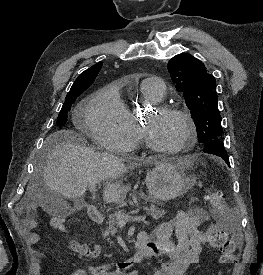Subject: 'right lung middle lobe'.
Wrapping results in <instances>:
<instances>
[{
	"label": "right lung middle lobe",
	"instance_id": "dd1d6c3e",
	"mask_svg": "<svg viewBox=\"0 0 263 275\" xmlns=\"http://www.w3.org/2000/svg\"><path fill=\"white\" fill-rule=\"evenodd\" d=\"M84 90H86V88L82 89V90H78L72 94H67L65 102H64V104L61 108V111L57 117V124L60 127L65 125V123L67 121V114L70 111V108H71L73 102Z\"/></svg>",
	"mask_w": 263,
	"mask_h": 275
}]
</instances>
